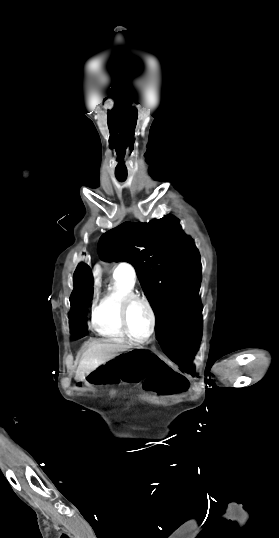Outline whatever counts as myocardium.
<instances>
[{
    "instance_id": "1",
    "label": "myocardium",
    "mask_w": 279,
    "mask_h": 538,
    "mask_svg": "<svg viewBox=\"0 0 279 538\" xmlns=\"http://www.w3.org/2000/svg\"><path fill=\"white\" fill-rule=\"evenodd\" d=\"M93 230H95V229H93ZM91 232H93V231H91ZM134 303H142V304H144L146 306V308L148 309L149 314H150V318H151L150 332L147 335V337H145L143 339L136 338L131 333L130 328H129L128 311H129L130 307ZM118 315H119L120 325H121L124 333L126 334V336L131 341H133V342H135L137 344H145V343H148L152 339V337L154 336V334L156 332V327H157V316H156V312L154 310V307H153L152 303L150 302V300L148 298H146L144 296H141L139 294H136V293H131V294L127 295L122 300V302L120 304Z\"/></svg>"
}]
</instances>
